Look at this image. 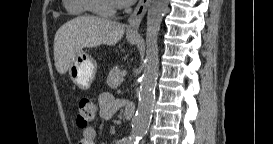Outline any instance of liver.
Segmentation results:
<instances>
[{"instance_id":"obj_1","label":"liver","mask_w":273,"mask_h":144,"mask_svg":"<svg viewBox=\"0 0 273 144\" xmlns=\"http://www.w3.org/2000/svg\"><path fill=\"white\" fill-rule=\"evenodd\" d=\"M124 31L122 23L94 16H81L66 22L54 38L56 70L65 74L83 48L115 45L123 37Z\"/></svg>"}]
</instances>
